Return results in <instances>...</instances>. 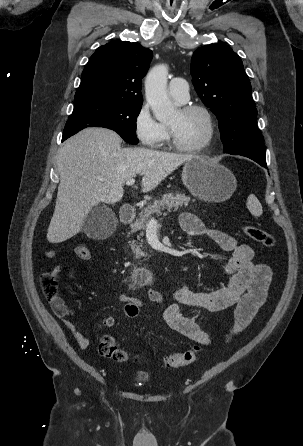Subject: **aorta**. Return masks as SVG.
<instances>
[{"label":"aorta","mask_w":303,"mask_h":446,"mask_svg":"<svg viewBox=\"0 0 303 446\" xmlns=\"http://www.w3.org/2000/svg\"><path fill=\"white\" fill-rule=\"evenodd\" d=\"M168 67H153L145 79V96L155 118L162 122L172 118L177 110L167 95Z\"/></svg>","instance_id":"1"}]
</instances>
